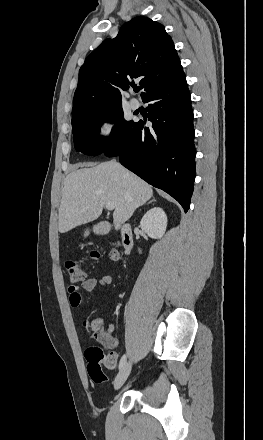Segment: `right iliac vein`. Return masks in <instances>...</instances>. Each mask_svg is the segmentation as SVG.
<instances>
[{
    "label": "right iliac vein",
    "mask_w": 263,
    "mask_h": 440,
    "mask_svg": "<svg viewBox=\"0 0 263 440\" xmlns=\"http://www.w3.org/2000/svg\"><path fill=\"white\" fill-rule=\"evenodd\" d=\"M131 368H132L131 361H128L127 363H125L123 365V367L121 368V370L117 374V376L114 380V383H113L115 390H119L123 386V384L125 383V381L127 380L128 376L131 372Z\"/></svg>",
    "instance_id": "obj_1"
}]
</instances>
